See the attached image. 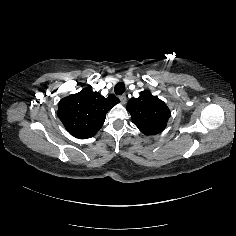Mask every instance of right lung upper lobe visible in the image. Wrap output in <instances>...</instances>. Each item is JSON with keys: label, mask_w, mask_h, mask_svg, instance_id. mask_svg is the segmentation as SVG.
Listing matches in <instances>:
<instances>
[{"label": "right lung upper lobe", "mask_w": 236, "mask_h": 236, "mask_svg": "<svg viewBox=\"0 0 236 236\" xmlns=\"http://www.w3.org/2000/svg\"><path fill=\"white\" fill-rule=\"evenodd\" d=\"M119 99L107 98L90 88L63 98L58 104V117L66 130L78 139L93 137L102 127L106 113Z\"/></svg>", "instance_id": "1"}]
</instances>
